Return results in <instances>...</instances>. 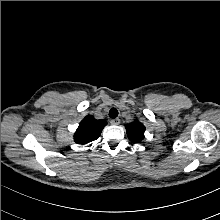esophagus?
<instances>
[{"mask_svg": "<svg viewBox=\"0 0 220 220\" xmlns=\"http://www.w3.org/2000/svg\"><path fill=\"white\" fill-rule=\"evenodd\" d=\"M110 122L112 125H118L120 123V119L115 118V119H112Z\"/></svg>", "mask_w": 220, "mask_h": 220, "instance_id": "34e87169", "label": "esophagus"}]
</instances>
